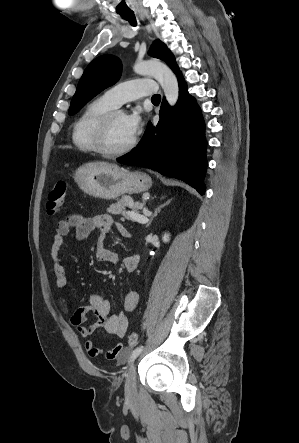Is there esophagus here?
Wrapping results in <instances>:
<instances>
[{"instance_id": "esophagus-1", "label": "esophagus", "mask_w": 299, "mask_h": 443, "mask_svg": "<svg viewBox=\"0 0 299 443\" xmlns=\"http://www.w3.org/2000/svg\"><path fill=\"white\" fill-rule=\"evenodd\" d=\"M138 15H139V17H140L142 20H144L145 16H144L143 13L139 12ZM146 28H147L148 33H151V28H150V26L148 25Z\"/></svg>"}]
</instances>
